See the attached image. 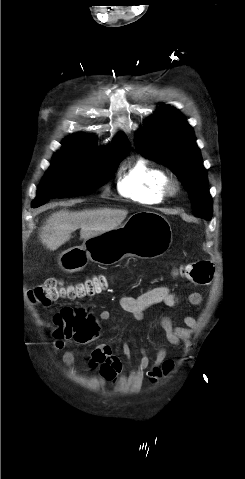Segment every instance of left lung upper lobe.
<instances>
[{
    "instance_id": "5c2ea615",
    "label": "left lung upper lobe",
    "mask_w": 245,
    "mask_h": 479,
    "mask_svg": "<svg viewBox=\"0 0 245 479\" xmlns=\"http://www.w3.org/2000/svg\"><path fill=\"white\" fill-rule=\"evenodd\" d=\"M142 155L170 167L188 191L193 214L212 217L206 170L192 127L173 107L162 106L147 120L136 139Z\"/></svg>"
}]
</instances>
